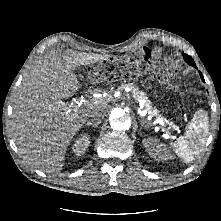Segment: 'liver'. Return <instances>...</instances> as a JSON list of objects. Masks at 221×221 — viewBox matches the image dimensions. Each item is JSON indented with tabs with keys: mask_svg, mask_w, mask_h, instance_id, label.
Wrapping results in <instances>:
<instances>
[{
	"mask_svg": "<svg viewBox=\"0 0 221 221\" xmlns=\"http://www.w3.org/2000/svg\"><path fill=\"white\" fill-rule=\"evenodd\" d=\"M108 54L52 50L25 74L13 104L11 132L18 151L30 166L58 173L73 137L94 111L106 113L103 100L77 107L65 102L79 89L74 71L107 60Z\"/></svg>",
	"mask_w": 221,
	"mask_h": 221,
	"instance_id": "liver-1",
	"label": "liver"
}]
</instances>
